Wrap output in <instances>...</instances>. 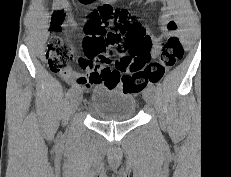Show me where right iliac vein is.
<instances>
[{
	"mask_svg": "<svg viewBox=\"0 0 231 177\" xmlns=\"http://www.w3.org/2000/svg\"><path fill=\"white\" fill-rule=\"evenodd\" d=\"M81 101H82V92L79 90H76L70 99L69 111L71 114L76 111Z\"/></svg>",
	"mask_w": 231,
	"mask_h": 177,
	"instance_id": "63e3f726",
	"label": "right iliac vein"
}]
</instances>
